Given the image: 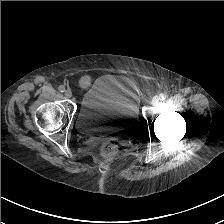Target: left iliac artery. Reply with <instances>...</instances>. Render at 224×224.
<instances>
[{"instance_id":"44dca946","label":"left iliac artery","mask_w":224,"mask_h":224,"mask_svg":"<svg viewBox=\"0 0 224 224\" xmlns=\"http://www.w3.org/2000/svg\"><path fill=\"white\" fill-rule=\"evenodd\" d=\"M159 99H160L161 101H164V100L166 99V95L163 94V93H161V94L159 95Z\"/></svg>"}]
</instances>
